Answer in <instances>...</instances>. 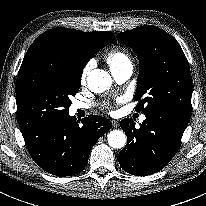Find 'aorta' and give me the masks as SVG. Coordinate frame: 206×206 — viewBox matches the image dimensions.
<instances>
[{
    "instance_id": "1",
    "label": "aorta",
    "mask_w": 206,
    "mask_h": 206,
    "mask_svg": "<svg viewBox=\"0 0 206 206\" xmlns=\"http://www.w3.org/2000/svg\"><path fill=\"white\" fill-rule=\"evenodd\" d=\"M89 89L94 93H101L108 90L112 84L111 76L104 70L94 69L87 77ZM108 144L115 149H121L126 145L127 138L123 131L113 130L108 136Z\"/></svg>"
}]
</instances>
